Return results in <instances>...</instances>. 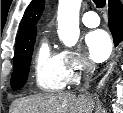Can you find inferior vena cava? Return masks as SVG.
I'll use <instances>...</instances> for the list:
<instances>
[{
  "label": "inferior vena cava",
  "mask_w": 123,
  "mask_h": 113,
  "mask_svg": "<svg viewBox=\"0 0 123 113\" xmlns=\"http://www.w3.org/2000/svg\"><path fill=\"white\" fill-rule=\"evenodd\" d=\"M94 66L91 63H88L85 67V74H84V84L81 88V95L88 96V88H89V83L91 81L92 75L94 73Z\"/></svg>",
  "instance_id": "inferior-vena-cava-1"
}]
</instances>
